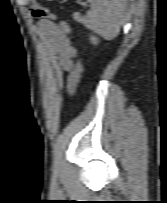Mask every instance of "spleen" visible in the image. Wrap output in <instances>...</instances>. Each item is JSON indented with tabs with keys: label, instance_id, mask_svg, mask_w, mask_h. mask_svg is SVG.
<instances>
[{
	"label": "spleen",
	"instance_id": "1",
	"mask_svg": "<svg viewBox=\"0 0 167 203\" xmlns=\"http://www.w3.org/2000/svg\"><path fill=\"white\" fill-rule=\"evenodd\" d=\"M90 10L84 16L74 14V19L107 40L115 38L123 23L126 0H88Z\"/></svg>",
	"mask_w": 167,
	"mask_h": 203
}]
</instances>
